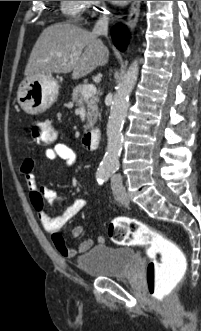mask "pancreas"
Listing matches in <instances>:
<instances>
[{
  "label": "pancreas",
  "instance_id": "1",
  "mask_svg": "<svg viewBox=\"0 0 201 331\" xmlns=\"http://www.w3.org/2000/svg\"><path fill=\"white\" fill-rule=\"evenodd\" d=\"M85 84H78L72 93V101L77 105L86 104V116H87V124L85 125V129H89L93 127L95 124L99 111H98V95H92L89 98H84L82 94V90L85 87Z\"/></svg>",
  "mask_w": 201,
  "mask_h": 331
}]
</instances>
